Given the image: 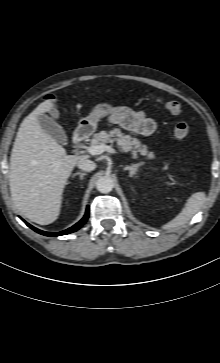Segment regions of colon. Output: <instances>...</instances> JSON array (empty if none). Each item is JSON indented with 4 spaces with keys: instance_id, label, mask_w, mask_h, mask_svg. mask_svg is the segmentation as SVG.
Listing matches in <instances>:
<instances>
[{
    "instance_id": "5ec220e1",
    "label": "colon",
    "mask_w": 220,
    "mask_h": 363,
    "mask_svg": "<svg viewBox=\"0 0 220 363\" xmlns=\"http://www.w3.org/2000/svg\"><path fill=\"white\" fill-rule=\"evenodd\" d=\"M49 99L54 100L55 97L50 96ZM162 104H163V107L165 108V110L172 115H178L181 112L182 107H181V103L179 101L168 100V101H163ZM173 131H174V135L178 139L184 140L189 136L190 128H189L188 124L181 121V122H177L174 125Z\"/></svg>"
}]
</instances>
